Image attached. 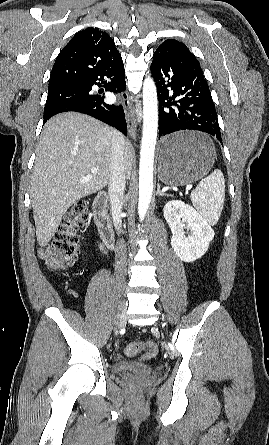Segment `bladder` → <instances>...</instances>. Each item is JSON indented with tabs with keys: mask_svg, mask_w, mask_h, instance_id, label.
<instances>
[{
	"mask_svg": "<svg viewBox=\"0 0 269 445\" xmlns=\"http://www.w3.org/2000/svg\"><path fill=\"white\" fill-rule=\"evenodd\" d=\"M112 370L118 375L134 373L141 376H148L153 372V368L148 365L128 360L117 361L114 363Z\"/></svg>",
	"mask_w": 269,
	"mask_h": 445,
	"instance_id": "obj_1",
	"label": "bladder"
}]
</instances>
